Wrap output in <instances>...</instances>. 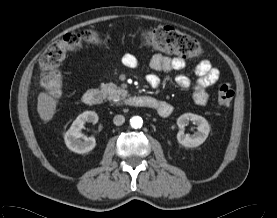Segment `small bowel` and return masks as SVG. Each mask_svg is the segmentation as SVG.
I'll return each instance as SVG.
<instances>
[{
  "label": "small bowel",
  "mask_w": 277,
  "mask_h": 218,
  "mask_svg": "<svg viewBox=\"0 0 277 218\" xmlns=\"http://www.w3.org/2000/svg\"><path fill=\"white\" fill-rule=\"evenodd\" d=\"M122 63L128 68H135L138 64L136 56L127 53L122 57ZM186 62L181 57H170L162 54H155L150 60V67L156 71H172L183 70ZM197 75L196 81L193 83L191 79L179 74L176 76V84L182 89H192V96L196 104L204 106L209 100L208 88L215 84L220 78V72L213 67L209 60H201L195 67ZM149 86L155 88L160 84V78L156 74H149L146 77ZM171 112V107L167 102H162V106L158 109V113L166 115Z\"/></svg>",
  "instance_id": "obj_1"
}]
</instances>
